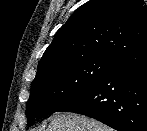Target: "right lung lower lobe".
Returning a JSON list of instances; mask_svg holds the SVG:
<instances>
[{
    "label": "right lung lower lobe",
    "instance_id": "right-lung-lower-lobe-1",
    "mask_svg": "<svg viewBox=\"0 0 147 131\" xmlns=\"http://www.w3.org/2000/svg\"><path fill=\"white\" fill-rule=\"evenodd\" d=\"M58 112L86 115L118 131H147V43Z\"/></svg>",
    "mask_w": 147,
    "mask_h": 131
}]
</instances>
